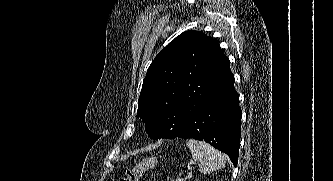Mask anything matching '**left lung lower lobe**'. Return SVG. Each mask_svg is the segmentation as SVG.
I'll return each mask as SVG.
<instances>
[{"instance_id":"0a47b994","label":"left lung lower lobe","mask_w":333,"mask_h":181,"mask_svg":"<svg viewBox=\"0 0 333 181\" xmlns=\"http://www.w3.org/2000/svg\"><path fill=\"white\" fill-rule=\"evenodd\" d=\"M231 70L213 87L204 104L181 119L168 120L173 134L158 139L193 138L226 153L237 166L242 111Z\"/></svg>"}]
</instances>
